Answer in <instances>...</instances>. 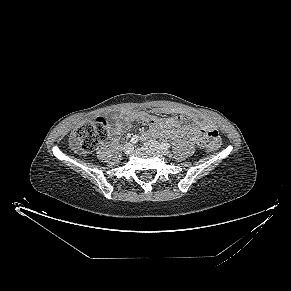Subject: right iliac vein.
<instances>
[{
	"instance_id": "63e3f726",
	"label": "right iliac vein",
	"mask_w": 291,
	"mask_h": 291,
	"mask_svg": "<svg viewBox=\"0 0 291 291\" xmlns=\"http://www.w3.org/2000/svg\"><path fill=\"white\" fill-rule=\"evenodd\" d=\"M133 149H134L133 144H131V143H127V144L124 146L123 151H124L125 154H130V153L133 151Z\"/></svg>"
}]
</instances>
